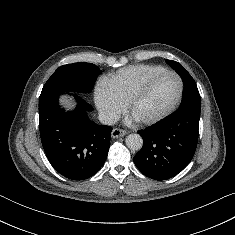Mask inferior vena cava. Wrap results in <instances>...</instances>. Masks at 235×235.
<instances>
[{"instance_id":"inferior-vena-cava-1","label":"inferior vena cava","mask_w":235,"mask_h":235,"mask_svg":"<svg viewBox=\"0 0 235 235\" xmlns=\"http://www.w3.org/2000/svg\"><path fill=\"white\" fill-rule=\"evenodd\" d=\"M98 119L102 124H105V125H113L116 122V119L114 118V116L105 111H100L98 113Z\"/></svg>"}]
</instances>
